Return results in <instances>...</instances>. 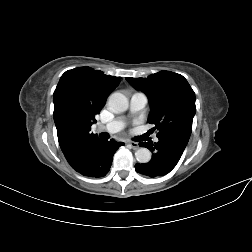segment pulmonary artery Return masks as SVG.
<instances>
[{
    "label": "pulmonary artery",
    "mask_w": 252,
    "mask_h": 252,
    "mask_svg": "<svg viewBox=\"0 0 252 252\" xmlns=\"http://www.w3.org/2000/svg\"><path fill=\"white\" fill-rule=\"evenodd\" d=\"M147 101L148 98L146 94L142 92L134 93L130 99V112L136 113L142 110L146 106ZM124 125L125 124L122 118H116L107 124L100 125L98 129L112 134L120 131L124 127ZM155 141L157 142L158 138H155Z\"/></svg>",
    "instance_id": "pulmonary-artery-1"
}]
</instances>
